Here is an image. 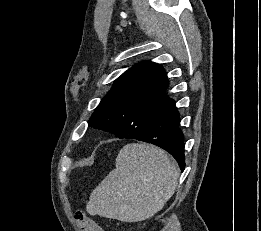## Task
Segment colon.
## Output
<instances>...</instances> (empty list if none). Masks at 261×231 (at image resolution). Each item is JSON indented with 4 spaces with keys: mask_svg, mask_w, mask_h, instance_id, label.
Returning a JSON list of instances; mask_svg holds the SVG:
<instances>
[{
    "mask_svg": "<svg viewBox=\"0 0 261 231\" xmlns=\"http://www.w3.org/2000/svg\"><path fill=\"white\" fill-rule=\"evenodd\" d=\"M74 220L79 225L81 231L85 227L89 226V219L85 211L77 210L74 214Z\"/></svg>",
    "mask_w": 261,
    "mask_h": 231,
    "instance_id": "5ec220e1",
    "label": "colon"
}]
</instances>
